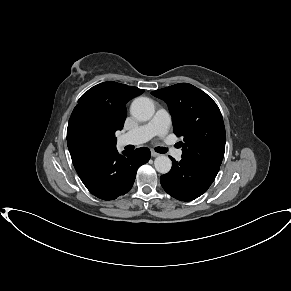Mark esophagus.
<instances>
[{"label":"esophagus","mask_w":291,"mask_h":291,"mask_svg":"<svg viewBox=\"0 0 291 291\" xmlns=\"http://www.w3.org/2000/svg\"><path fill=\"white\" fill-rule=\"evenodd\" d=\"M160 154L159 153H157V152H155V151H151V156L152 157H157V156H159Z\"/></svg>","instance_id":"esophagus-1"}]
</instances>
